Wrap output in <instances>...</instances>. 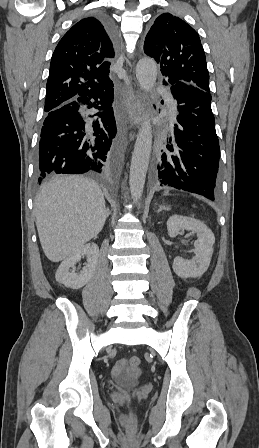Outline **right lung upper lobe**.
I'll use <instances>...</instances> for the list:
<instances>
[{
  "label": "right lung upper lobe",
  "mask_w": 259,
  "mask_h": 448,
  "mask_svg": "<svg viewBox=\"0 0 259 448\" xmlns=\"http://www.w3.org/2000/svg\"><path fill=\"white\" fill-rule=\"evenodd\" d=\"M114 57L115 42L101 21L87 17L77 22L53 52L44 111L111 88Z\"/></svg>",
  "instance_id": "obj_1"
}]
</instances>
